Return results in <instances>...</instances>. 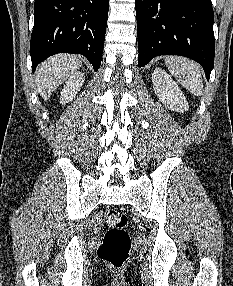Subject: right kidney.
<instances>
[{
    "label": "right kidney",
    "mask_w": 233,
    "mask_h": 286,
    "mask_svg": "<svg viewBox=\"0 0 233 286\" xmlns=\"http://www.w3.org/2000/svg\"><path fill=\"white\" fill-rule=\"evenodd\" d=\"M84 83V74L80 71L72 74L66 81L60 96L61 104H66L75 98Z\"/></svg>",
    "instance_id": "obj_1"
}]
</instances>
